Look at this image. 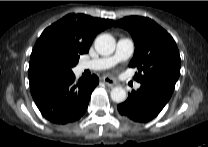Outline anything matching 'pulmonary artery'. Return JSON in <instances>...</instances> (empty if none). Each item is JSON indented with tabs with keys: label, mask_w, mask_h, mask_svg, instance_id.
Masks as SVG:
<instances>
[{
	"label": "pulmonary artery",
	"mask_w": 208,
	"mask_h": 147,
	"mask_svg": "<svg viewBox=\"0 0 208 147\" xmlns=\"http://www.w3.org/2000/svg\"><path fill=\"white\" fill-rule=\"evenodd\" d=\"M134 52V43L129 38H120L117 41L115 52L110 56L95 58L91 60H85L80 62L79 69L84 70H105L109 69L116 64L129 59ZM140 83L135 84V88H140Z\"/></svg>",
	"instance_id": "pulmonary-artery-1"
}]
</instances>
